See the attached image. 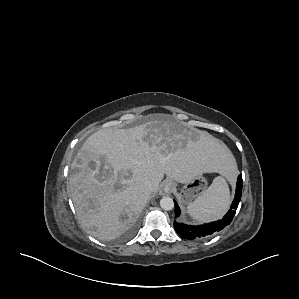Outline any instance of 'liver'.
Segmentation results:
<instances>
[{"mask_svg":"<svg viewBox=\"0 0 299 299\" xmlns=\"http://www.w3.org/2000/svg\"><path fill=\"white\" fill-rule=\"evenodd\" d=\"M233 166L223 142L158 115L89 136L71 164L69 190L82 227L111 240L136 220L164 174L187 183L203 173L228 175Z\"/></svg>","mask_w":299,"mask_h":299,"instance_id":"obj_1","label":"liver"}]
</instances>
